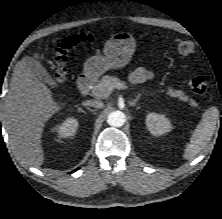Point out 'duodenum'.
<instances>
[{"label":"duodenum","mask_w":222,"mask_h":219,"mask_svg":"<svg viewBox=\"0 0 222 219\" xmlns=\"http://www.w3.org/2000/svg\"><path fill=\"white\" fill-rule=\"evenodd\" d=\"M77 84L79 92L83 95H86L89 93L92 87L93 77L90 74H84L79 77Z\"/></svg>","instance_id":"duodenum-1"}]
</instances>
